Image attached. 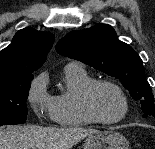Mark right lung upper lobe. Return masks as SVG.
Here are the masks:
<instances>
[{
    "instance_id": "obj_1",
    "label": "right lung upper lobe",
    "mask_w": 155,
    "mask_h": 149,
    "mask_svg": "<svg viewBox=\"0 0 155 149\" xmlns=\"http://www.w3.org/2000/svg\"><path fill=\"white\" fill-rule=\"evenodd\" d=\"M54 35L32 28L19 30L0 52V78L32 74L45 62Z\"/></svg>"
}]
</instances>
